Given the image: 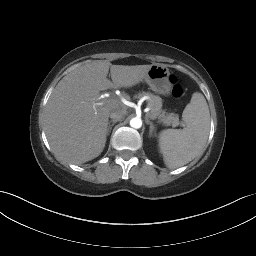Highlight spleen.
<instances>
[{"label":"spleen","mask_w":256,"mask_h":256,"mask_svg":"<svg viewBox=\"0 0 256 256\" xmlns=\"http://www.w3.org/2000/svg\"><path fill=\"white\" fill-rule=\"evenodd\" d=\"M184 129H166L159 135L164 163L174 169L192 161L204 148L210 129V113L204 96L195 92L185 107Z\"/></svg>","instance_id":"obj_1"}]
</instances>
